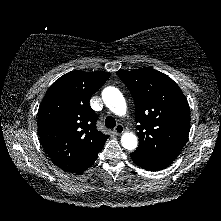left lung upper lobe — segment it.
<instances>
[{"instance_id": "obj_1", "label": "left lung upper lobe", "mask_w": 221, "mask_h": 221, "mask_svg": "<svg viewBox=\"0 0 221 221\" xmlns=\"http://www.w3.org/2000/svg\"><path fill=\"white\" fill-rule=\"evenodd\" d=\"M117 75L132 94L139 123L135 154L173 161L187 142L190 108L178 85L151 68L121 70Z\"/></svg>"}]
</instances>
